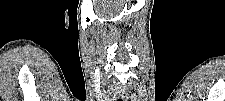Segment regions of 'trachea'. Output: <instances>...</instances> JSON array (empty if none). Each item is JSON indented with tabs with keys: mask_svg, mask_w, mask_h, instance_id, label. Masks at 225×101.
I'll list each match as a JSON object with an SVG mask.
<instances>
[{
	"mask_svg": "<svg viewBox=\"0 0 225 101\" xmlns=\"http://www.w3.org/2000/svg\"><path fill=\"white\" fill-rule=\"evenodd\" d=\"M117 101H122L121 99H118Z\"/></svg>",
	"mask_w": 225,
	"mask_h": 101,
	"instance_id": "3493384b",
	"label": "trachea"
}]
</instances>
